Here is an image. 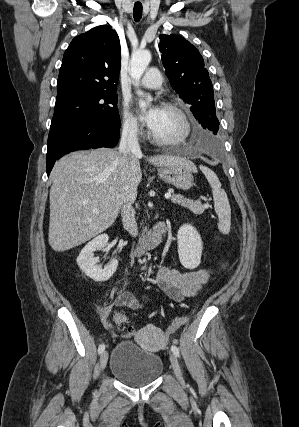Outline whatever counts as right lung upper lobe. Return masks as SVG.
Wrapping results in <instances>:
<instances>
[{
	"instance_id": "cb5924a9",
	"label": "right lung upper lobe",
	"mask_w": 299,
	"mask_h": 427,
	"mask_svg": "<svg viewBox=\"0 0 299 427\" xmlns=\"http://www.w3.org/2000/svg\"><path fill=\"white\" fill-rule=\"evenodd\" d=\"M120 41L110 26L75 37L66 49L57 81V100L98 91H116Z\"/></svg>"
}]
</instances>
